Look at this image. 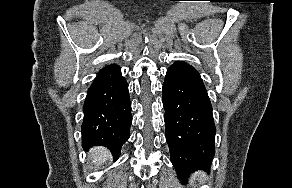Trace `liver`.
Masks as SVG:
<instances>
[{
    "label": "liver",
    "instance_id": "1",
    "mask_svg": "<svg viewBox=\"0 0 292 188\" xmlns=\"http://www.w3.org/2000/svg\"><path fill=\"white\" fill-rule=\"evenodd\" d=\"M89 157L94 164L100 166L110 158V153L104 147H94L91 150Z\"/></svg>",
    "mask_w": 292,
    "mask_h": 188
}]
</instances>
